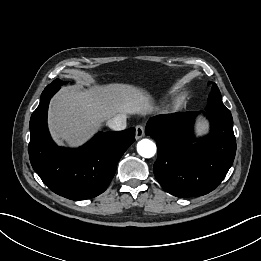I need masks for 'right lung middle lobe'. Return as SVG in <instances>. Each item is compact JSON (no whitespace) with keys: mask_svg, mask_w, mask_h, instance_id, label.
Returning <instances> with one entry per match:
<instances>
[{"mask_svg":"<svg viewBox=\"0 0 261 261\" xmlns=\"http://www.w3.org/2000/svg\"><path fill=\"white\" fill-rule=\"evenodd\" d=\"M51 84H53V85H61V84H63V82L61 80H59V79H56Z\"/></svg>","mask_w":261,"mask_h":261,"instance_id":"1","label":"right lung middle lobe"}]
</instances>
